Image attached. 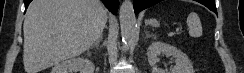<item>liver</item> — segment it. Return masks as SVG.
Instances as JSON below:
<instances>
[{
    "label": "liver",
    "mask_w": 244,
    "mask_h": 73,
    "mask_svg": "<svg viewBox=\"0 0 244 73\" xmlns=\"http://www.w3.org/2000/svg\"><path fill=\"white\" fill-rule=\"evenodd\" d=\"M106 21L98 0H33L23 25L26 73L79 56L100 37Z\"/></svg>",
    "instance_id": "obj_1"
}]
</instances>
